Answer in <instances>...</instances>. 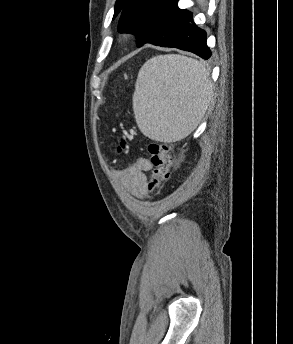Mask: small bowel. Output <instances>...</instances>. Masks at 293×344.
Returning a JSON list of instances; mask_svg holds the SVG:
<instances>
[{
    "label": "small bowel",
    "instance_id": "small-bowel-1",
    "mask_svg": "<svg viewBox=\"0 0 293 344\" xmlns=\"http://www.w3.org/2000/svg\"><path fill=\"white\" fill-rule=\"evenodd\" d=\"M152 168L150 161L144 157L138 158L132 165L120 173L125 190L137 198H143L147 190V176Z\"/></svg>",
    "mask_w": 293,
    "mask_h": 344
}]
</instances>
